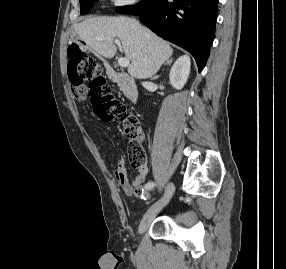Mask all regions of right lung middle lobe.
<instances>
[{
  "label": "right lung middle lobe",
  "instance_id": "1",
  "mask_svg": "<svg viewBox=\"0 0 286 269\" xmlns=\"http://www.w3.org/2000/svg\"><path fill=\"white\" fill-rule=\"evenodd\" d=\"M97 0H80L81 14L88 13L91 6ZM158 0H142L137 6L117 7L116 10L120 13L136 15L144 10L153 8Z\"/></svg>",
  "mask_w": 286,
  "mask_h": 269
}]
</instances>
